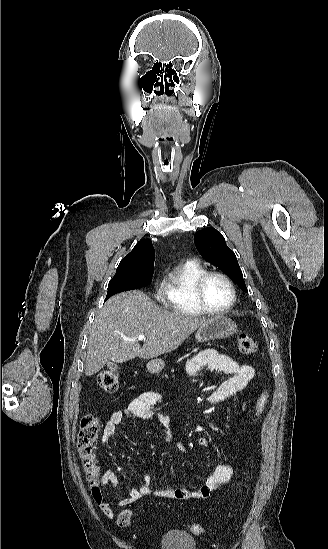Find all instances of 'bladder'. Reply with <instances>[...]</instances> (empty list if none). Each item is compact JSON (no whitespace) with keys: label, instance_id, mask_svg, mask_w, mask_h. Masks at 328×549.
I'll list each match as a JSON object with an SVG mask.
<instances>
[{"label":"bladder","instance_id":"bladder-1","mask_svg":"<svg viewBox=\"0 0 328 549\" xmlns=\"http://www.w3.org/2000/svg\"><path fill=\"white\" fill-rule=\"evenodd\" d=\"M161 541L163 545L162 549H195L194 536L181 534L175 530L164 533Z\"/></svg>","mask_w":328,"mask_h":549}]
</instances>
